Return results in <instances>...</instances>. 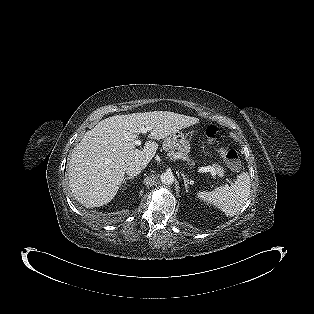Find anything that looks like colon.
Wrapping results in <instances>:
<instances>
[{
    "instance_id": "1",
    "label": "colon",
    "mask_w": 314,
    "mask_h": 314,
    "mask_svg": "<svg viewBox=\"0 0 314 314\" xmlns=\"http://www.w3.org/2000/svg\"><path fill=\"white\" fill-rule=\"evenodd\" d=\"M206 135L209 139L215 141L220 135V130L216 125H209L206 129ZM218 151L229 168L238 170L241 167L238 153L234 149L219 148Z\"/></svg>"
}]
</instances>
